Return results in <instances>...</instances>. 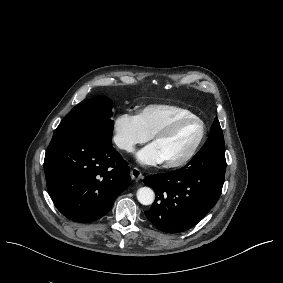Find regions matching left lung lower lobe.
Listing matches in <instances>:
<instances>
[{
	"instance_id": "1",
	"label": "left lung lower lobe",
	"mask_w": 283,
	"mask_h": 283,
	"mask_svg": "<svg viewBox=\"0 0 283 283\" xmlns=\"http://www.w3.org/2000/svg\"><path fill=\"white\" fill-rule=\"evenodd\" d=\"M226 169L225 149L203 146L183 168L149 175L156 193L148 220L167 233L183 232L202 220L220 197Z\"/></svg>"
}]
</instances>
